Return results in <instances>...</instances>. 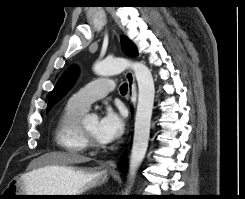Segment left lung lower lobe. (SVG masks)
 I'll use <instances>...</instances> for the list:
<instances>
[{
	"label": "left lung lower lobe",
	"instance_id": "1",
	"mask_svg": "<svg viewBox=\"0 0 245 199\" xmlns=\"http://www.w3.org/2000/svg\"><path fill=\"white\" fill-rule=\"evenodd\" d=\"M120 165H121L122 167L125 166L124 160L121 161Z\"/></svg>",
	"mask_w": 245,
	"mask_h": 199
}]
</instances>
